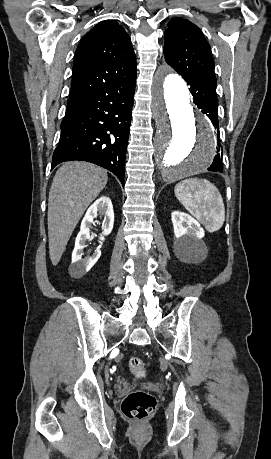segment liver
Returning <instances> with one entry per match:
<instances>
[{
	"mask_svg": "<svg viewBox=\"0 0 271 459\" xmlns=\"http://www.w3.org/2000/svg\"><path fill=\"white\" fill-rule=\"evenodd\" d=\"M106 170L88 162H65L56 172L48 200L49 255L57 265L89 204L107 184Z\"/></svg>",
	"mask_w": 271,
	"mask_h": 459,
	"instance_id": "1",
	"label": "liver"
}]
</instances>
